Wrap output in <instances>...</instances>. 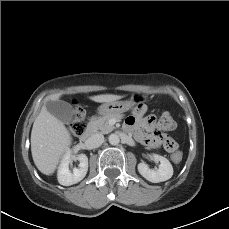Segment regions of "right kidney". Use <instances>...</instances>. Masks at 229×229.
I'll return each instance as SVG.
<instances>
[{"label":"right kidney","instance_id":"right-kidney-1","mask_svg":"<svg viewBox=\"0 0 229 229\" xmlns=\"http://www.w3.org/2000/svg\"><path fill=\"white\" fill-rule=\"evenodd\" d=\"M70 150H67L58 168V182L63 186H70L80 182L88 171V158L85 154L77 155L76 159L80 162L79 168H74L73 172L69 170L72 162Z\"/></svg>","mask_w":229,"mask_h":229}]
</instances>
